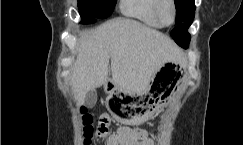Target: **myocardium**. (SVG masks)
<instances>
[{
	"label": "myocardium",
	"mask_w": 243,
	"mask_h": 145,
	"mask_svg": "<svg viewBox=\"0 0 243 145\" xmlns=\"http://www.w3.org/2000/svg\"><path fill=\"white\" fill-rule=\"evenodd\" d=\"M166 4H169L172 10V20L170 22H167L163 15V8ZM155 15L157 19L164 25V26H170L175 23L176 16H177V9L175 0H156L155 4Z\"/></svg>",
	"instance_id": "1"
}]
</instances>
